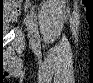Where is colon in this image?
I'll list each match as a JSON object with an SVG mask.
<instances>
[{
  "mask_svg": "<svg viewBox=\"0 0 93 83\" xmlns=\"http://www.w3.org/2000/svg\"><path fill=\"white\" fill-rule=\"evenodd\" d=\"M16 3H17V1H15V0H14V1H12V6H14ZM10 11H11V12H13V11H14V9H11Z\"/></svg>",
  "mask_w": 93,
  "mask_h": 83,
  "instance_id": "colon-1",
  "label": "colon"
}]
</instances>
